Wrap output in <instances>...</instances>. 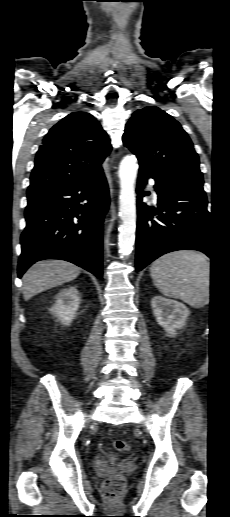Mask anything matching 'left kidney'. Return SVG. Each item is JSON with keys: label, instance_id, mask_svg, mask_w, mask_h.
<instances>
[{"label": "left kidney", "instance_id": "1", "mask_svg": "<svg viewBox=\"0 0 230 517\" xmlns=\"http://www.w3.org/2000/svg\"><path fill=\"white\" fill-rule=\"evenodd\" d=\"M151 306L158 324L164 328L168 336H174L176 330L184 326L190 314L183 303L162 296H154Z\"/></svg>", "mask_w": 230, "mask_h": 517}]
</instances>
